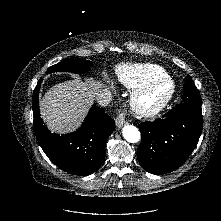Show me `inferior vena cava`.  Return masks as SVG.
Returning a JSON list of instances; mask_svg holds the SVG:
<instances>
[{
    "label": "inferior vena cava",
    "instance_id": "obj_1",
    "mask_svg": "<svg viewBox=\"0 0 221 221\" xmlns=\"http://www.w3.org/2000/svg\"><path fill=\"white\" fill-rule=\"evenodd\" d=\"M111 101H112V95H111L110 90H108V89H102L96 95V102L100 106L105 107L108 104H110Z\"/></svg>",
    "mask_w": 221,
    "mask_h": 221
}]
</instances>
